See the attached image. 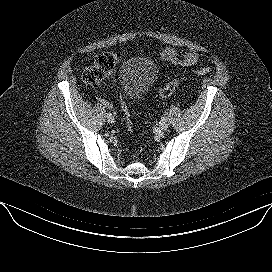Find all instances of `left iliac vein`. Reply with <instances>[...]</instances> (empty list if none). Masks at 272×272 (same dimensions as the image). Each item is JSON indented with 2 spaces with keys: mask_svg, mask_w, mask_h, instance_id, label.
I'll use <instances>...</instances> for the list:
<instances>
[{
  "mask_svg": "<svg viewBox=\"0 0 272 272\" xmlns=\"http://www.w3.org/2000/svg\"><path fill=\"white\" fill-rule=\"evenodd\" d=\"M159 128L161 130H166L168 128V123L166 121H162L159 123Z\"/></svg>",
  "mask_w": 272,
  "mask_h": 272,
  "instance_id": "1",
  "label": "left iliac vein"
}]
</instances>
